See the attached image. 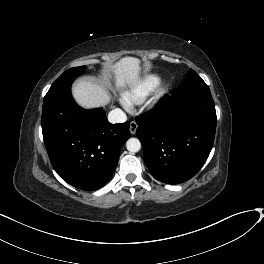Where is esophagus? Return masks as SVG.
Returning <instances> with one entry per match:
<instances>
[{
  "label": "esophagus",
  "mask_w": 264,
  "mask_h": 264,
  "mask_svg": "<svg viewBox=\"0 0 264 264\" xmlns=\"http://www.w3.org/2000/svg\"><path fill=\"white\" fill-rule=\"evenodd\" d=\"M137 127H138V125L135 121L130 122V133L132 135H134L136 133Z\"/></svg>",
  "instance_id": "esophagus-1"
}]
</instances>
